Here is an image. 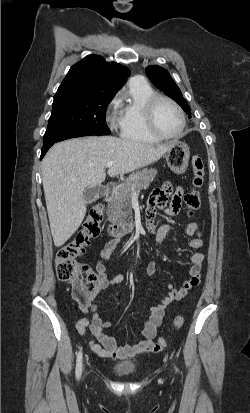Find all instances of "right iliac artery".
Instances as JSON below:
<instances>
[{
  "label": "right iliac artery",
  "instance_id": "right-iliac-artery-1",
  "mask_svg": "<svg viewBox=\"0 0 250 413\" xmlns=\"http://www.w3.org/2000/svg\"><path fill=\"white\" fill-rule=\"evenodd\" d=\"M82 373V352L79 351L77 353V359H76V377L77 379L80 378Z\"/></svg>",
  "mask_w": 250,
  "mask_h": 413
}]
</instances>
